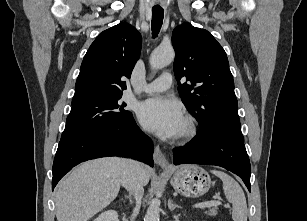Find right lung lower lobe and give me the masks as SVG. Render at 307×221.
<instances>
[{
	"mask_svg": "<svg viewBox=\"0 0 307 221\" xmlns=\"http://www.w3.org/2000/svg\"><path fill=\"white\" fill-rule=\"evenodd\" d=\"M106 156L132 157L153 166V142L140 130L133 116L61 139L53 163L52 190L77 164Z\"/></svg>",
	"mask_w": 307,
	"mask_h": 221,
	"instance_id": "1",
	"label": "right lung lower lobe"
}]
</instances>
